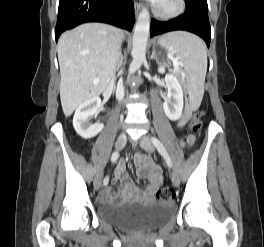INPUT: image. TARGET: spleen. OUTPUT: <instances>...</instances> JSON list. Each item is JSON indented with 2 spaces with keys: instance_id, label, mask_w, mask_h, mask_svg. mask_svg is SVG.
<instances>
[{
  "instance_id": "obj_1",
  "label": "spleen",
  "mask_w": 264,
  "mask_h": 247,
  "mask_svg": "<svg viewBox=\"0 0 264 247\" xmlns=\"http://www.w3.org/2000/svg\"><path fill=\"white\" fill-rule=\"evenodd\" d=\"M159 43L180 60L189 97L200 103L207 72V51L203 41L192 33L177 31L160 37Z\"/></svg>"
}]
</instances>
